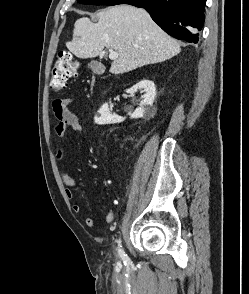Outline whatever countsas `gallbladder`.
<instances>
[{
    "instance_id": "1",
    "label": "gallbladder",
    "mask_w": 249,
    "mask_h": 294,
    "mask_svg": "<svg viewBox=\"0 0 249 294\" xmlns=\"http://www.w3.org/2000/svg\"><path fill=\"white\" fill-rule=\"evenodd\" d=\"M89 67L95 74H102L105 71V67L100 62L95 60H92L89 63Z\"/></svg>"
}]
</instances>
